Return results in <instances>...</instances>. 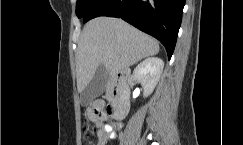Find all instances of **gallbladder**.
I'll list each match as a JSON object with an SVG mask.
<instances>
[{
    "label": "gallbladder",
    "mask_w": 243,
    "mask_h": 145,
    "mask_svg": "<svg viewBox=\"0 0 243 145\" xmlns=\"http://www.w3.org/2000/svg\"><path fill=\"white\" fill-rule=\"evenodd\" d=\"M109 80V73L104 65H100L93 77L81 92V103L83 106L89 105L93 99L100 96L106 89Z\"/></svg>",
    "instance_id": "gallbladder-1"
}]
</instances>
